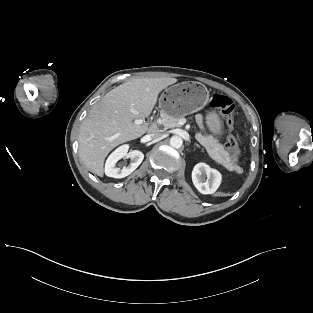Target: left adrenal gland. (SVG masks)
Segmentation results:
<instances>
[{"label": "left adrenal gland", "mask_w": 313, "mask_h": 313, "mask_svg": "<svg viewBox=\"0 0 313 313\" xmlns=\"http://www.w3.org/2000/svg\"><path fill=\"white\" fill-rule=\"evenodd\" d=\"M194 146H196L197 148H200V146L198 144H194Z\"/></svg>", "instance_id": "obj_1"}]
</instances>
